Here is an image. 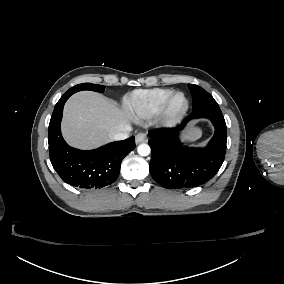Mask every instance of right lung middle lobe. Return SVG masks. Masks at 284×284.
I'll return each instance as SVG.
<instances>
[{
	"instance_id": "right-lung-middle-lobe-1",
	"label": "right lung middle lobe",
	"mask_w": 284,
	"mask_h": 284,
	"mask_svg": "<svg viewBox=\"0 0 284 284\" xmlns=\"http://www.w3.org/2000/svg\"><path fill=\"white\" fill-rule=\"evenodd\" d=\"M104 86L102 85H97V84H91V83H82L78 84L72 88H70L66 93L74 94L78 91L82 90H92V91H97V92H103L104 91Z\"/></svg>"
}]
</instances>
